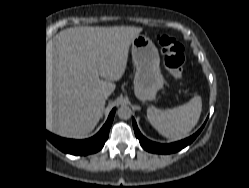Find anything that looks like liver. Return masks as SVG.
<instances>
[{"mask_svg": "<svg viewBox=\"0 0 249 188\" xmlns=\"http://www.w3.org/2000/svg\"><path fill=\"white\" fill-rule=\"evenodd\" d=\"M142 28H72L47 46V129L60 136H87L103 115L114 81L125 72L132 40ZM99 76L104 78L99 79Z\"/></svg>", "mask_w": 249, "mask_h": 188, "instance_id": "liver-1", "label": "liver"}]
</instances>
